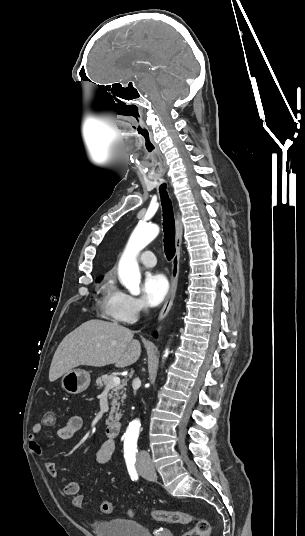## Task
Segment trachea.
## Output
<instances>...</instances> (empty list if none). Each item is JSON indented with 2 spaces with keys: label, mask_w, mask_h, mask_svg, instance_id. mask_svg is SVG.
Returning <instances> with one entry per match:
<instances>
[{
  "label": "trachea",
  "mask_w": 305,
  "mask_h": 536,
  "mask_svg": "<svg viewBox=\"0 0 305 536\" xmlns=\"http://www.w3.org/2000/svg\"><path fill=\"white\" fill-rule=\"evenodd\" d=\"M166 183L161 184L159 191L163 209L164 251L168 261L175 255V220L172 202L166 191Z\"/></svg>",
  "instance_id": "3493384b"
}]
</instances>
